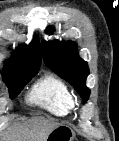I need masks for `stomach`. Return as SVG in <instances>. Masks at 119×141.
Wrapping results in <instances>:
<instances>
[{"label":"stomach","mask_w":119,"mask_h":141,"mask_svg":"<svg viewBox=\"0 0 119 141\" xmlns=\"http://www.w3.org/2000/svg\"><path fill=\"white\" fill-rule=\"evenodd\" d=\"M74 137L75 134L69 126L60 124L49 133L46 141H74Z\"/></svg>","instance_id":"1"}]
</instances>
